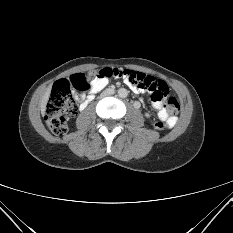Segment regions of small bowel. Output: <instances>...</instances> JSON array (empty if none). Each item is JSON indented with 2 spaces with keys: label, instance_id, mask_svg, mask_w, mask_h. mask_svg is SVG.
<instances>
[{
  "label": "small bowel",
  "instance_id": "c3829d8e",
  "mask_svg": "<svg viewBox=\"0 0 233 233\" xmlns=\"http://www.w3.org/2000/svg\"><path fill=\"white\" fill-rule=\"evenodd\" d=\"M108 79L109 78H106V77H100V76L96 77L92 82V86H91V89L89 90V94L78 96L79 100H80V108L81 109H84L88 105L93 94L97 93L98 91L103 89L108 84V81H109ZM133 90L135 92H138V89L136 87H133ZM156 104H157L158 116H159L160 120L167 122L170 126H173L176 122L175 118H170L167 115L164 107L158 105V102H156ZM148 116L149 115L147 114V117Z\"/></svg>",
  "mask_w": 233,
  "mask_h": 233
}]
</instances>
